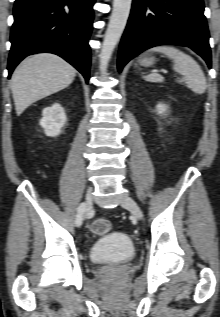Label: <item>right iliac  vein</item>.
Wrapping results in <instances>:
<instances>
[{
  "instance_id": "1",
  "label": "right iliac vein",
  "mask_w": 220,
  "mask_h": 317,
  "mask_svg": "<svg viewBox=\"0 0 220 317\" xmlns=\"http://www.w3.org/2000/svg\"><path fill=\"white\" fill-rule=\"evenodd\" d=\"M92 187H88L87 193H86V199H85V215L88 214L89 211L92 209Z\"/></svg>"
}]
</instances>
